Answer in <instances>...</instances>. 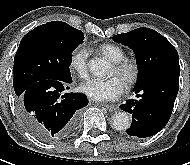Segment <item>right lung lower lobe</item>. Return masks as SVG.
I'll list each match as a JSON object with an SVG mask.
<instances>
[{
  "label": "right lung lower lobe",
  "instance_id": "1",
  "mask_svg": "<svg viewBox=\"0 0 190 165\" xmlns=\"http://www.w3.org/2000/svg\"><path fill=\"white\" fill-rule=\"evenodd\" d=\"M71 82L72 79L41 80L29 86L17 99L22 123L39 140L49 142L73 132L79 109L85 107L88 100L84 94H61L64 86Z\"/></svg>",
  "mask_w": 190,
  "mask_h": 165
}]
</instances>
